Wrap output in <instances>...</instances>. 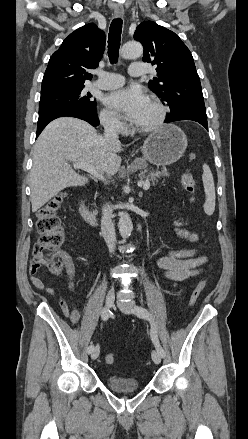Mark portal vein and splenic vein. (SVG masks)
I'll return each instance as SVG.
<instances>
[{
	"label": "portal vein and splenic vein",
	"mask_w": 248,
	"mask_h": 439,
	"mask_svg": "<svg viewBox=\"0 0 248 439\" xmlns=\"http://www.w3.org/2000/svg\"><path fill=\"white\" fill-rule=\"evenodd\" d=\"M73 167L76 169H82V170L90 173L94 177L105 180L104 177L98 173V171L96 170V168L93 165H90L87 163H74ZM139 185L143 186V188L145 190H148L150 188V182L148 180H145L144 182H142V181L139 182Z\"/></svg>",
	"instance_id": "portal-vein-and-splenic-vein-1"
}]
</instances>
